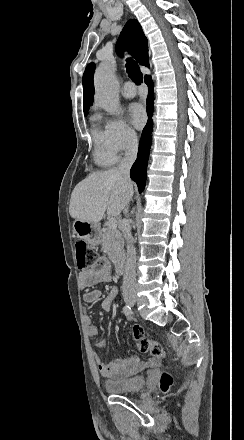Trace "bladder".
Returning <instances> with one entry per match:
<instances>
[{"label":"bladder","mask_w":244,"mask_h":440,"mask_svg":"<svg viewBox=\"0 0 244 440\" xmlns=\"http://www.w3.org/2000/svg\"><path fill=\"white\" fill-rule=\"evenodd\" d=\"M145 377H132L124 381H108L105 387L109 393L131 392L144 388Z\"/></svg>","instance_id":"bladder-1"}]
</instances>
